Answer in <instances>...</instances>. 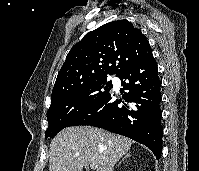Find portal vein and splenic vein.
<instances>
[{
	"instance_id": "1",
	"label": "portal vein and splenic vein",
	"mask_w": 199,
	"mask_h": 171,
	"mask_svg": "<svg viewBox=\"0 0 199 171\" xmlns=\"http://www.w3.org/2000/svg\"><path fill=\"white\" fill-rule=\"evenodd\" d=\"M90 167L92 168V169H95L96 168V164H90Z\"/></svg>"
}]
</instances>
